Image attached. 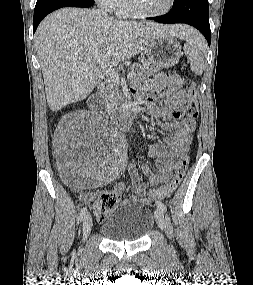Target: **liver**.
Masks as SVG:
<instances>
[{"label":"liver","mask_w":253,"mask_h":285,"mask_svg":"<svg viewBox=\"0 0 253 285\" xmlns=\"http://www.w3.org/2000/svg\"><path fill=\"white\" fill-rule=\"evenodd\" d=\"M188 30L184 25L117 21L100 9L68 7L51 13L35 35L50 109L82 101L93 91L102 74L96 57L116 65L156 37L183 38Z\"/></svg>","instance_id":"6515ba94"}]
</instances>
